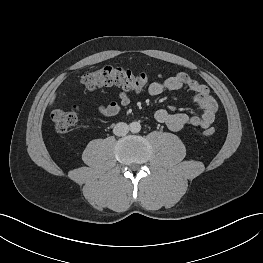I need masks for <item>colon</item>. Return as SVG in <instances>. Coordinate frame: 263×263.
<instances>
[{
	"mask_svg": "<svg viewBox=\"0 0 263 263\" xmlns=\"http://www.w3.org/2000/svg\"><path fill=\"white\" fill-rule=\"evenodd\" d=\"M149 77L146 73H135L129 68L106 64L97 69L85 73L81 77V84L86 89H95L100 86L118 85L125 89L141 90L148 83ZM77 107H59L52 112V120L58 132H66L78 122ZM215 128L211 127L205 131L206 136H213Z\"/></svg>",
	"mask_w": 263,
	"mask_h": 263,
	"instance_id": "colon-1",
	"label": "colon"
}]
</instances>
